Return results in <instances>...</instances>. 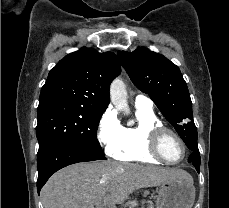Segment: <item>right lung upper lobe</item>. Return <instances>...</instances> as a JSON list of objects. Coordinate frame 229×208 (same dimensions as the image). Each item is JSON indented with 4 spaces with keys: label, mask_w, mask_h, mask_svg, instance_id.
<instances>
[{
    "label": "right lung upper lobe",
    "mask_w": 229,
    "mask_h": 208,
    "mask_svg": "<svg viewBox=\"0 0 229 208\" xmlns=\"http://www.w3.org/2000/svg\"><path fill=\"white\" fill-rule=\"evenodd\" d=\"M119 73L114 53L82 48L68 54L50 71L39 103L72 101L102 115L110 102V83Z\"/></svg>",
    "instance_id": "cb5924a9"
}]
</instances>
